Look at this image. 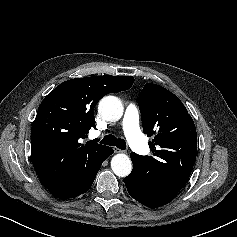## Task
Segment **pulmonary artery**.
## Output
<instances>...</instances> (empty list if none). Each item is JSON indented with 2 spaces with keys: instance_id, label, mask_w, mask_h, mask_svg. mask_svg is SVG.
Listing matches in <instances>:
<instances>
[{
  "instance_id": "pulmonary-artery-1",
  "label": "pulmonary artery",
  "mask_w": 237,
  "mask_h": 237,
  "mask_svg": "<svg viewBox=\"0 0 237 237\" xmlns=\"http://www.w3.org/2000/svg\"><path fill=\"white\" fill-rule=\"evenodd\" d=\"M140 112L134 103H129L123 117V129L129 144L139 154L148 153V146L142 140L139 128Z\"/></svg>"
}]
</instances>
